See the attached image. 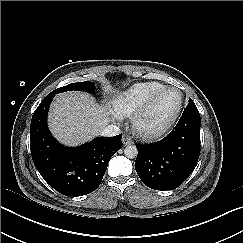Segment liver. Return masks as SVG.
Returning a JSON list of instances; mask_svg holds the SVG:
<instances>
[{
	"mask_svg": "<svg viewBox=\"0 0 243 243\" xmlns=\"http://www.w3.org/2000/svg\"><path fill=\"white\" fill-rule=\"evenodd\" d=\"M106 107L87 93L57 94L50 106L48 124L55 138L66 146H78L99 135L109 123Z\"/></svg>",
	"mask_w": 243,
	"mask_h": 243,
	"instance_id": "liver-1",
	"label": "liver"
}]
</instances>
